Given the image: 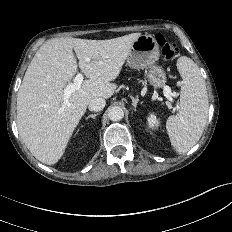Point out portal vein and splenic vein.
Here are the masks:
<instances>
[{
    "mask_svg": "<svg viewBox=\"0 0 232 232\" xmlns=\"http://www.w3.org/2000/svg\"><path fill=\"white\" fill-rule=\"evenodd\" d=\"M89 61V60H87ZM84 76L82 73H77V75L74 78L73 83H69L63 90V98H64V104L68 105L69 104V98L71 96L72 93H74L75 91L79 90L81 88V84L83 82ZM164 96L166 97V99L168 101H170L171 103L174 102V94L171 92V88L169 86H165L164 87Z\"/></svg>",
    "mask_w": 232,
    "mask_h": 232,
    "instance_id": "1",
    "label": "portal vein and splenic vein"
}]
</instances>
